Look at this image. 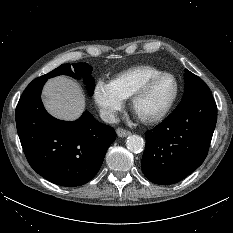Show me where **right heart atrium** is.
Listing matches in <instances>:
<instances>
[{
  "instance_id": "right-heart-atrium-1",
  "label": "right heart atrium",
  "mask_w": 233,
  "mask_h": 233,
  "mask_svg": "<svg viewBox=\"0 0 233 233\" xmlns=\"http://www.w3.org/2000/svg\"><path fill=\"white\" fill-rule=\"evenodd\" d=\"M95 103L102 115L109 121H114L124 105V99L117 92L112 82L98 80L93 92Z\"/></svg>"
}]
</instances>
